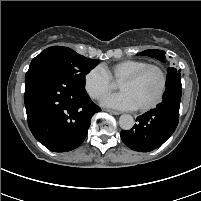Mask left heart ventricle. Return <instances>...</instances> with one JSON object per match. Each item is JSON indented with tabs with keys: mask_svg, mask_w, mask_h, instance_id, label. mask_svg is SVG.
<instances>
[{
	"mask_svg": "<svg viewBox=\"0 0 201 201\" xmlns=\"http://www.w3.org/2000/svg\"><path fill=\"white\" fill-rule=\"evenodd\" d=\"M161 78L156 70H148L136 81L120 83L119 90L127 93L137 107L151 102L157 95Z\"/></svg>",
	"mask_w": 201,
	"mask_h": 201,
	"instance_id": "b2bd125f",
	"label": "left heart ventricle"
}]
</instances>
